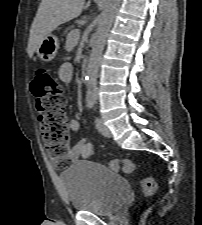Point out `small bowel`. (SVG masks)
I'll return each instance as SVG.
<instances>
[{"instance_id":"obj_1","label":"small bowel","mask_w":202,"mask_h":225,"mask_svg":"<svg viewBox=\"0 0 202 225\" xmlns=\"http://www.w3.org/2000/svg\"><path fill=\"white\" fill-rule=\"evenodd\" d=\"M74 77V67L70 63L63 64L58 71V78L63 83H69ZM70 131L78 133L81 130L80 121L71 117L68 119ZM93 157V149L91 143L86 138L79 139L69 150L66 160L68 162H76L80 159H90ZM63 167V166H60Z\"/></svg>"}]
</instances>
